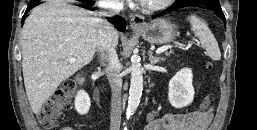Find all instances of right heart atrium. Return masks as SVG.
Returning <instances> with one entry per match:
<instances>
[{
    "label": "right heart atrium",
    "instance_id": "right-heart-atrium-1",
    "mask_svg": "<svg viewBox=\"0 0 257 130\" xmlns=\"http://www.w3.org/2000/svg\"><path fill=\"white\" fill-rule=\"evenodd\" d=\"M111 6H119L122 4L123 0H106Z\"/></svg>",
    "mask_w": 257,
    "mask_h": 130
}]
</instances>
